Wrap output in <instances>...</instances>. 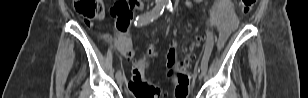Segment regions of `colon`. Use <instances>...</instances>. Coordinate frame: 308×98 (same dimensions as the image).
I'll return each instance as SVG.
<instances>
[{"mask_svg": "<svg viewBox=\"0 0 308 98\" xmlns=\"http://www.w3.org/2000/svg\"><path fill=\"white\" fill-rule=\"evenodd\" d=\"M136 0H123L115 3L111 9V14L117 18L118 30L115 36V44L118 50L127 59L132 56L130 41L126 32L134 27L129 24L132 18L133 5ZM256 0H241V10L243 14H248ZM74 7L79 16L82 17L87 25L91 24L93 19L99 18L104 12L101 0H74ZM200 37L196 38V42ZM224 45V44H223ZM154 45L151 44L147 52L134 64L132 71V81L130 88L137 98H157L158 91L150 85L143 77L149 59L153 54ZM193 59L191 54L179 56L177 50L173 47L168 53V64L170 67V77L173 81V89L176 98H184L187 94L188 75L187 69Z\"/></svg>", "mask_w": 308, "mask_h": 98, "instance_id": "obj_1", "label": "colon"}]
</instances>
